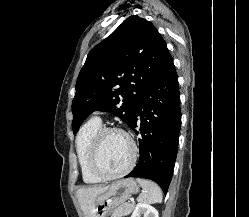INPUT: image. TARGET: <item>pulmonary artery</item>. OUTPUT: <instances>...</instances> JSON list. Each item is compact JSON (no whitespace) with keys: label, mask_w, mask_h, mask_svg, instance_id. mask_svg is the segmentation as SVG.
<instances>
[{"label":"pulmonary artery","mask_w":249,"mask_h":217,"mask_svg":"<svg viewBox=\"0 0 249 217\" xmlns=\"http://www.w3.org/2000/svg\"><path fill=\"white\" fill-rule=\"evenodd\" d=\"M94 118L100 120L99 116H97V115Z\"/></svg>","instance_id":"e3ab8cb5"}]
</instances>
